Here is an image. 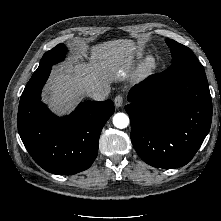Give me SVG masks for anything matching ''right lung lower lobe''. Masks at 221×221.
I'll return each instance as SVG.
<instances>
[{"label":"right lung lower lobe","mask_w":221,"mask_h":221,"mask_svg":"<svg viewBox=\"0 0 221 221\" xmlns=\"http://www.w3.org/2000/svg\"><path fill=\"white\" fill-rule=\"evenodd\" d=\"M51 68L35 71L27 83L19 103L18 131L39 166L57 175L75 174L95 160L101 130L114 105L111 100L85 101L70 115L55 116L41 102Z\"/></svg>","instance_id":"98d812e1"}]
</instances>
